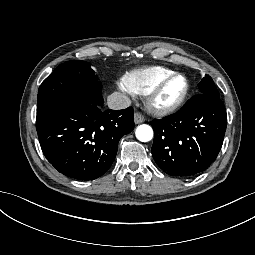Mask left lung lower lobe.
<instances>
[{"mask_svg": "<svg viewBox=\"0 0 255 255\" xmlns=\"http://www.w3.org/2000/svg\"><path fill=\"white\" fill-rule=\"evenodd\" d=\"M152 156L171 176L190 178L215 161L227 126L225 106L219 97L199 94L177 113L151 121Z\"/></svg>", "mask_w": 255, "mask_h": 255, "instance_id": "1", "label": "left lung lower lobe"}]
</instances>
